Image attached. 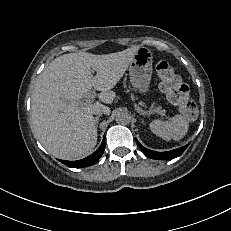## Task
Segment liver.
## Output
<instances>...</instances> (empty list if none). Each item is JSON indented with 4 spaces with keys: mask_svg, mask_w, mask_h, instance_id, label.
<instances>
[{
    "mask_svg": "<svg viewBox=\"0 0 231 231\" xmlns=\"http://www.w3.org/2000/svg\"><path fill=\"white\" fill-rule=\"evenodd\" d=\"M139 46L95 55L68 53L55 58L39 75L31 99L33 132L49 154L65 160L89 155L97 144L93 112L99 101L77 104L92 87L111 104L112 88L122 78ZM92 70L96 71L93 76ZM107 107V106H106ZM108 108V107H107ZM110 114V108L107 113Z\"/></svg>",
    "mask_w": 231,
    "mask_h": 231,
    "instance_id": "1",
    "label": "liver"
}]
</instances>
